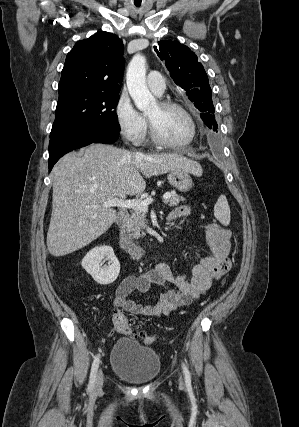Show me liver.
Here are the masks:
<instances>
[{"label": "liver", "mask_w": 299, "mask_h": 427, "mask_svg": "<svg viewBox=\"0 0 299 427\" xmlns=\"http://www.w3.org/2000/svg\"><path fill=\"white\" fill-rule=\"evenodd\" d=\"M172 170L201 176L199 163L178 154H145L91 144L62 157L52 170V214L47 233L51 255L77 251L105 233L116 210L104 202L144 192L149 178Z\"/></svg>", "instance_id": "1"}]
</instances>
